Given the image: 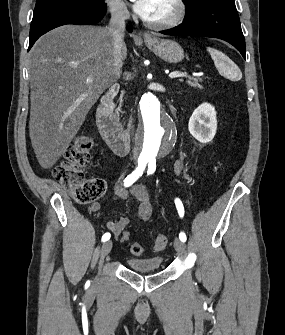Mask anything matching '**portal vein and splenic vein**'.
Masks as SVG:
<instances>
[{
	"label": "portal vein and splenic vein",
	"mask_w": 285,
	"mask_h": 335,
	"mask_svg": "<svg viewBox=\"0 0 285 335\" xmlns=\"http://www.w3.org/2000/svg\"><path fill=\"white\" fill-rule=\"evenodd\" d=\"M185 74H181V72H171L169 74V78H183ZM186 78H189V76H186ZM192 80H197V78H192ZM86 82H93V76H87Z\"/></svg>",
	"instance_id": "18ae733b"
}]
</instances>
